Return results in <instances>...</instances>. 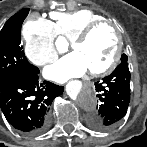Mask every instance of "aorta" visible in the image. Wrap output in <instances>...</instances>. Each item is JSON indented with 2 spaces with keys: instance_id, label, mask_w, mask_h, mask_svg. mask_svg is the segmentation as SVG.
Returning a JSON list of instances; mask_svg holds the SVG:
<instances>
[{
  "instance_id": "obj_1",
  "label": "aorta",
  "mask_w": 147,
  "mask_h": 147,
  "mask_svg": "<svg viewBox=\"0 0 147 147\" xmlns=\"http://www.w3.org/2000/svg\"><path fill=\"white\" fill-rule=\"evenodd\" d=\"M70 96L86 111H94L97 104L96 94L93 89L86 85L72 87L69 91Z\"/></svg>"
}]
</instances>
